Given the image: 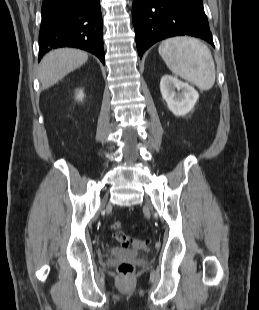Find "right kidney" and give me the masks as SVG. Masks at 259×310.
<instances>
[{
    "mask_svg": "<svg viewBox=\"0 0 259 310\" xmlns=\"http://www.w3.org/2000/svg\"><path fill=\"white\" fill-rule=\"evenodd\" d=\"M83 97H84L83 91L82 90L78 91L76 99L82 101Z\"/></svg>",
    "mask_w": 259,
    "mask_h": 310,
    "instance_id": "obj_1",
    "label": "right kidney"
}]
</instances>
